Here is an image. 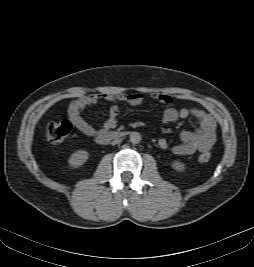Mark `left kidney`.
<instances>
[{
	"mask_svg": "<svg viewBox=\"0 0 254 267\" xmlns=\"http://www.w3.org/2000/svg\"><path fill=\"white\" fill-rule=\"evenodd\" d=\"M171 166L178 172H183L185 170V165L178 160L173 161Z\"/></svg>",
	"mask_w": 254,
	"mask_h": 267,
	"instance_id": "obj_1",
	"label": "left kidney"
}]
</instances>
